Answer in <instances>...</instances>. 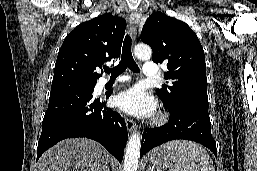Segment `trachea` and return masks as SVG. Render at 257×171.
I'll use <instances>...</instances> for the list:
<instances>
[{
    "label": "trachea",
    "instance_id": "obj_1",
    "mask_svg": "<svg viewBox=\"0 0 257 171\" xmlns=\"http://www.w3.org/2000/svg\"><path fill=\"white\" fill-rule=\"evenodd\" d=\"M132 40L129 34L126 35L123 48L122 55L119 64L113 68H104L106 73H110L111 77H117L122 74L127 68H129L133 72H139L138 65L133 59L131 52Z\"/></svg>",
    "mask_w": 257,
    "mask_h": 171
}]
</instances>
